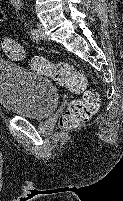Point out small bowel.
<instances>
[{
  "instance_id": "1",
  "label": "small bowel",
  "mask_w": 123,
  "mask_h": 201,
  "mask_svg": "<svg viewBox=\"0 0 123 201\" xmlns=\"http://www.w3.org/2000/svg\"><path fill=\"white\" fill-rule=\"evenodd\" d=\"M6 20V15L3 11L0 10V22H4Z\"/></svg>"
}]
</instances>
